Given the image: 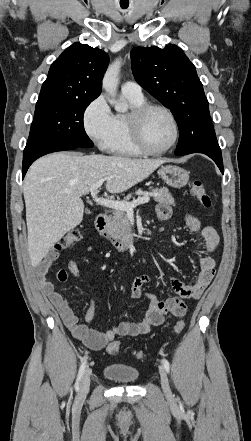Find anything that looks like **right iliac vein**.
I'll return each instance as SVG.
<instances>
[{
    "instance_id": "63e3f726",
    "label": "right iliac vein",
    "mask_w": 251,
    "mask_h": 441,
    "mask_svg": "<svg viewBox=\"0 0 251 441\" xmlns=\"http://www.w3.org/2000/svg\"><path fill=\"white\" fill-rule=\"evenodd\" d=\"M90 375L91 372L89 369H87L82 377L80 388L78 392V399L83 400L87 396L90 388Z\"/></svg>"
}]
</instances>
